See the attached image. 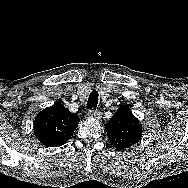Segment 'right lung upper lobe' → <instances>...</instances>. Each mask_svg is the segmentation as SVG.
I'll return each instance as SVG.
<instances>
[{
  "mask_svg": "<svg viewBox=\"0 0 188 188\" xmlns=\"http://www.w3.org/2000/svg\"><path fill=\"white\" fill-rule=\"evenodd\" d=\"M80 119L61 103L39 112L34 121V134L45 146L57 147L65 144L77 128Z\"/></svg>",
  "mask_w": 188,
  "mask_h": 188,
  "instance_id": "obj_1",
  "label": "right lung upper lobe"
}]
</instances>
